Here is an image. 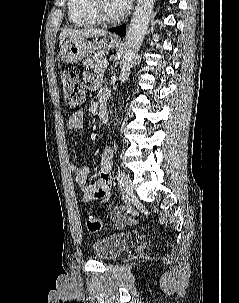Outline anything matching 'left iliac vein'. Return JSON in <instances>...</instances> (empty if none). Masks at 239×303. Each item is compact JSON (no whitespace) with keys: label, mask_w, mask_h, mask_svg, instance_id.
Listing matches in <instances>:
<instances>
[{"label":"left iliac vein","mask_w":239,"mask_h":303,"mask_svg":"<svg viewBox=\"0 0 239 303\" xmlns=\"http://www.w3.org/2000/svg\"><path fill=\"white\" fill-rule=\"evenodd\" d=\"M123 191H124L125 196L128 199L135 198L134 187H133L132 181L127 176L125 177V180H124Z\"/></svg>","instance_id":"obj_1"}]
</instances>
